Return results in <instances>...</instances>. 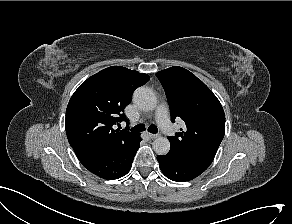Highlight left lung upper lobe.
<instances>
[{
    "label": "left lung upper lobe",
    "instance_id": "left-lung-upper-lobe-1",
    "mask_svg": "<svg viewBox=\"0 0 292 224\" xmlns=\"http://www.w3.org/2000/svg\"><path fill=\"white\" fill-rule=\"evenodd\" d=\"M169 103L171 120L185 127L168 137L174 153L205 171L225 134L224 110L213 92L188 70L173 66L156 73Z\"/></svg>",
    "mask_w": 292,
    "mask_h": 224
}]
</instances>
